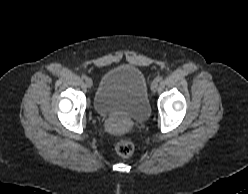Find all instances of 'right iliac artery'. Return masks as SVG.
Masks as SVG:
<instances>
[{"instance_id":"82829eb1","label":"right iliac artery","mask_w":248,"mask_h":194,"mask_svg":"<svg viewBox=\"0 0 248 194\" xmlns=\"http://www.w3.org/2000/svg\"><path fill=\"white\" fill-rule=\"evenodd\" d=\"M81 78H82L83 80H85V79H87V76H86V75H82Z\"/></svg>"}]
</instances>
